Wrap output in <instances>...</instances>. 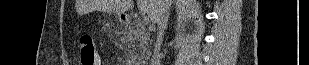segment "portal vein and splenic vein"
I'll list each match as a JSON object with an SVG mask.
<instances>
[{"label": "portal vein and splenic vein", "instance_id": "1", "mask_svg": "<svg viewBox=\"0 0 309 65\" xmlns=\"http://www.w3.org/2000/svg\"><path fill=\"white\" fill-rule=\"evenodd\" d=\"M142 23L144 25L149 23V18H148V16L145 15V13H142Z\"/></svg>", "mask_w": 309, "mask_h": 65}]
</instances>
